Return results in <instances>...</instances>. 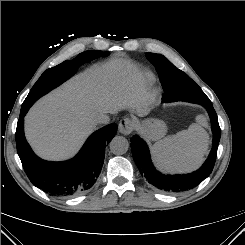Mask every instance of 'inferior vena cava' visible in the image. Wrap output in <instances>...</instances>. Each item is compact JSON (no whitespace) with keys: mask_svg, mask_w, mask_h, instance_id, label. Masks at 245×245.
Segmentation results:
<instances>
[{"mask_svg":"<svg viewBox=\"0 0 245 245\" xmlns=\"http://www.w3.org/2000/svg\"><path fill=\"white\" fill-rule=\"evenodd\" d=\"M96 124H106L108 123V117L105 116H99L98 118L95 119Z\"/></svg>","mask_w":245,"mask_h":245,"instance_id":"obj_1","label":"inferior vena cava"}]
</instances>
